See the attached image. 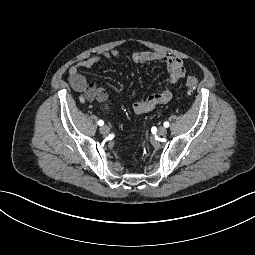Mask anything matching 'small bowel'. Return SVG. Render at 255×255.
<instances>
[{
  "mask_svg": "<svg viewBox=\"0 0 255 255\" xmlns=\"http://www.w3.org/2000/svg\"><path fill=\"white\" fill-rule=\"evenodd\" d=\"M119 51L114 49L103 55H96L79 61L69 68V83L71 87L78 92L85 91L90 101H97L107 107V93L103 88L89 84L86 78L81 74V70L91 68L102 60L117 58ZM132 60L135 63H161L164 64L169 72V76L161 89L145 100L139 101L133 105L136 114H145L152 111L157 105L167 104L172 98V88L186 75V69L183 61L173 55L164 52L142 51L132 54Z\"/></svg>",
  "mask_w": 255,
  "mask_h": 255,
  "instance_id": "1",
  "label": "small bowel"
}]
</instances>
